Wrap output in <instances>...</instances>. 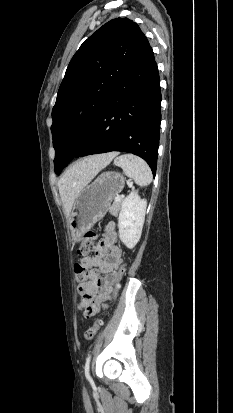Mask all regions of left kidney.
Masks as SVG:
<instances>
[{
    "label": "left kidney",
    "mask_w": 233,
    "mask_h": 413,
    "mask_svg": "<svg viewBox=\"0 0 233 413\" xmlns=\"http://www.w3.org/2000/svg\"><path fill=\"white\" fill-rule=\"evenodd\" d=\"M147 201L137 191L125 198L118 218L119 238L127 248L133 249L140 240L145 220Z\"/></svg>",
    "instance_id": "left-kidney-1"
}]
</instances>
